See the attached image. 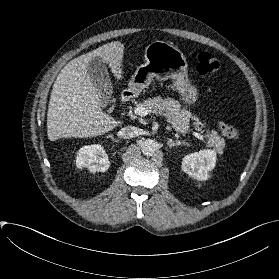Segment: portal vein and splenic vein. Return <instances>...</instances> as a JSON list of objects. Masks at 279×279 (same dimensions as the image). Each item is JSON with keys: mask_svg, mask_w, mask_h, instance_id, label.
I'll use <instances>...</instances> for the list:
<instances>
[{"mask_svg": "<svg viewBox=\"0 0 279 279\" xmlns=\"http://www.w3.org/2000/svg\"><path fill=\"white\" fill-rule=\"evenodd\" d=\"M134 113L139 116H147L149 114V111L147 108L137 105L136 107H134ZM192 134L199 140H201V141L204 140V137L200 133L193 131Z\"/></svg>", "mask_w": 279, "mask_h": 279, "instance_id": "1", "label": "portal vein and splenic vein"}]
</instances>
